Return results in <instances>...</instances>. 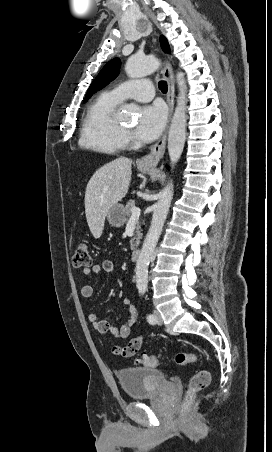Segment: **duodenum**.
<instances>
[{"label": "duodenum", "mask_w": 272, "mask_h": 452, "mask_svg": "<svg viewBox=\"0 0 272 452\" xmlns=\"http://www.w3.org/2000/svg\"><path fill=\"white\" fill-rule=\"evenodd\" d=\"M139 254H140L139 248H137V247L133 248L131 251V259L133 261H137L139 258Z\"/></svg>", "instance_id": "obj_1"}]
</instances>
